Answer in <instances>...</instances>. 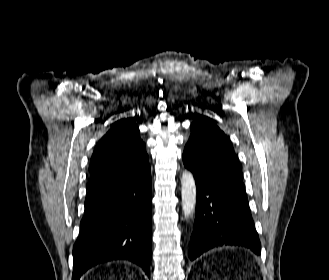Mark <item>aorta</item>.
Segmentation results:
<instances>
[{"label": "aorta", "mask_w": 329, "mask_h": 280, "mask_svg": "<svg viewBox=\"0 0 329 280\" xmlns=\"http://www.w3.org/2000/svg\"><path fill=\"white\" fill-rule=\"evenodd\" d=\"M196 184L193 174L190 171H184L181 177V199L182 211L184 217L189 218L196 206Z\"/></svg>", "instance_id": "762f6f07"}]
</instances>
